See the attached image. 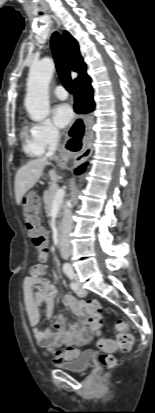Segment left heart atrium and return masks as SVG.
<instances>
[{
  "label": "left heart atrium",
  "instance_id": "39dd6f15",
  "mask_svg": "<svg viewBox=\"0 0 155 413\" xmlns=\"http://www.w3.org/2000/svg\"><path fill=\"white\" fill-rule=\"evenodd\" d=\"M73 118V112L69 105L60 104L54 110V122L59 128L67 126Z\"/></svg>",
  "mask_w": 155,
  "mask_h": 413
}]
</instances>
